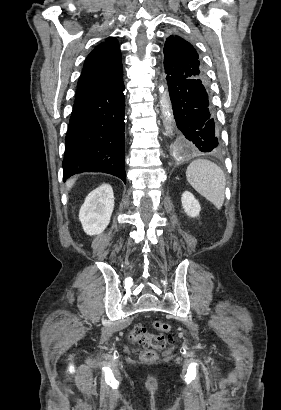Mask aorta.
Wrapping results in <instances>:
<instances>
[{"mask_svg": "<svg viewBox=\"0 0 281 410\" xmlns=\"http://www.w3.org/2000/svg\"><path fill=\"white\" fill-rule=\"evenodd\" d=\"M160 92V108L163 117V123L168 133L173 129V112L168 90L164 87L159 89Z\"/></svg>", "mask_w": 281, "mask_h": 410, "instance_id": "1", "label": "aorta"}]
</instances>
